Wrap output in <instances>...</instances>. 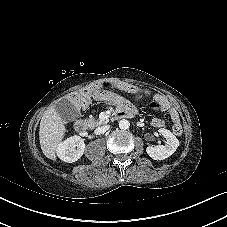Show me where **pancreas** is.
I'll list each match as a JSON object with an SVG mask.
<instances>
[{
    "instance_id": "obj_1",
    "label": "pancreas",
    "mask_w": 227,
    "mask_h": 227,
    "mask_svg": "<svg viewBox=\"0 0 227 227\" xmlns=\"http://www.w3.org/2000/svg\"><path fill=\"white\" fill-rule=\"evenodd\" d=\"M102 122H98V123H96L94 120H91L90 121V127L91 128H94L95 126H98V125H100Z\"/></svg>"
}]
</instances>
